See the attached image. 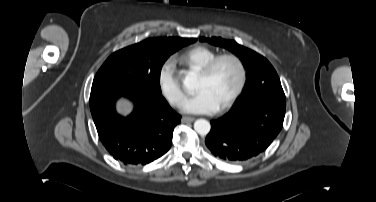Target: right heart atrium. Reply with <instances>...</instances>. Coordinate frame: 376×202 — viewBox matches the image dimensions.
Listing matches in <instances>:
<instances>
[{
  "instance_id": "1",
  "label": "right heart atrium",
  "mask_w": 376,
  "mask_h": 202,
  "mask_svg": "<svg viewBox=\"0 0 376 202\" xmlns=\"http://www.w3.org/2000/svg\"><path fill=\"white\" fill-rule=\"evenodd\" d=\"M158 87L161 94L173 106H179L184 94L179 82V77L171 60L162 63L158 71Z\"/></svg>"
}]
</instances>
